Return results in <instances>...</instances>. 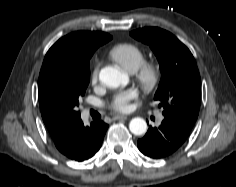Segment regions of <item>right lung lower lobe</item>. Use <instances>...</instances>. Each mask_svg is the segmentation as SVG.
<instances>
[{
	"mask_svg": "<svg viewBox=\"0 0 236 187\" xmlns=\"http://www.w3.org/2000/svg\"><path fill=\"white\" fill-rule=\"evenodd\" d=\"M108 125L103 121L92 122L85 127L82 121L74 131L67 151L63 154L71 160L84 161L100 149Z\"/></svg>",
	"mask_w": 236,
	"mask_h": 187,
	"instance_id": "1",
	"label": "right lung lower lobe"
}]
</instances>
